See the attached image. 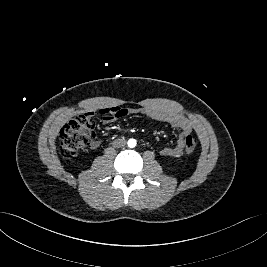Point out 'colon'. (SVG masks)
I'll return each instance as SVG.
<instances>
[{"mask_svg": "<svg viewBox=\"0 0 267 267\" xmlns=\"http://www.w3.org/2000/svg\"><path fill=\"white\" fill-rule=\"evenodd\" d=\"M96 123L93 115L83 114L63 126L59 132V151L63 157L71 158L77 155L95 137ZM185 149L193 152L198 146V139L185 137Z\"/></svg>", "mask_w": 267, "mask_h": 267, "instance_id": "5ec220e1", "label": "colon"}]
</instances>
